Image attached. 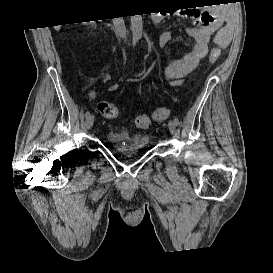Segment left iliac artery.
<instances>
[{"label":"left iliac artery","mask_w":273,"mask_h":273,"mask_svg":"<svg viewBox=\"0 0 273 273\" xmlns=\"http://www.w3.org/2000/svg\"><path fill=\"white\" fill-rule=\"evenodd\" d=\"M174 122H175V125L178 126L179 125V121L177 118H174Z\"/></svg>","instance_id":"obj_1"}]
</instances>
